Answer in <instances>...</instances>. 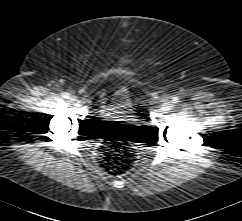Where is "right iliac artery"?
Segmentation results:
<instances>
[{
	"mask_svg": "<svg viewBox=\"0 0 242 221\" xmlns=\"http://www.w3.org/2000/svg\"><path fill=\"white\" fill-rule=\"evenodd\" d=\"M70 97V95H69V93H67V92H64L63 94H62V98H64V99H68Z\"/></svg>",
	"mask_w": 242,
	"mask_h": 221,
	"instance_id": "obj_1",
	"label": "right iliac artery"
}]
</instances>
